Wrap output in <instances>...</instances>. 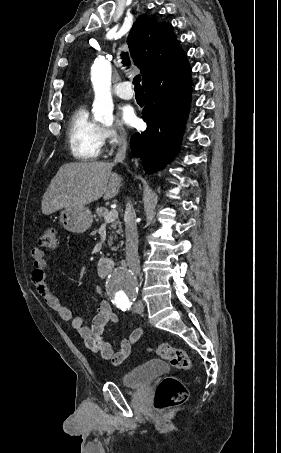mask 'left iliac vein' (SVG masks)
I'll return each mask as SVG.
<instances>
[{"mask_svg": "<svg viewBox=\"0 0 281 453\" xmlns=\"http://www.w3.org/2000/svg\"><path fill=\"white\" fill-rule=\"evenodd\" d=\"M144 310L143 303L142 302H137L134 305L133 311L137 314H142V311Z\"/></svg>", "mask_w": 281, "mask_h": 453, "instance_id": "obj_1", "label": "left iliac vein"}]
</instances>
